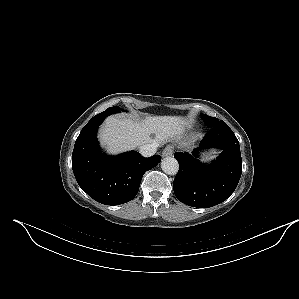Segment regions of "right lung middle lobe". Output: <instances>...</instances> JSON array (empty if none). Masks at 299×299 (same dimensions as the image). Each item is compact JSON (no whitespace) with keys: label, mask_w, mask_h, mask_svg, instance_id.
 I'll return each instance as SVG.
<instances>
[{"label":"right lung middle lobe","mask_w":299,"mask_h":299,"mask_svg":"<svg viewBox=\"0 0 299 299\" xmlns=\"http://www.w3.org/2000/svg\"><path fill=\"white\" fill-rule=\"evenodd\" d=\"M107 111H111L112 113H117L119 112V107L114 106V107H110L108 109H106Z\"/></svg>","instance_id":"dd1d6c3e"}]
</instances>
